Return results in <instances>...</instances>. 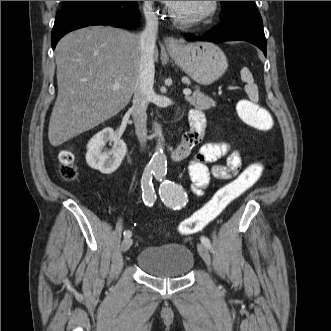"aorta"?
<instances>
[{
	"label": "aorta",
	"mask_w": 331,
	"mask_h": 331,
	"mask_svg": "<svg viewBox=\"0 0 331 331\" xmlns=\"http://www.w3.org/2000/svg\"><path fill=\"white\" fill-rule=\"evenodd\" d=\"M153 129L154 135L157 137V145L150 161V169L154 172L156 177H163L167 171V158L163 146L164 137L159 123L154 122Z\"/></svg>",
	"instance_id": "aorta-1"
}]
</instances>
